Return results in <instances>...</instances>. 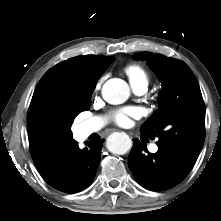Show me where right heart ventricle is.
Here are the masks:
<instances>
[{
    "mask_svg": "<svg viewBox=\"0 0 221 221\" xmlns=\"http://www.w3.org/2000/svg\"><path fill=\"white\" fill-rule=\"evenodd\" d=\"M125 73L127 74L131 84H136L140 82L148 83L149 81L148 73L139 64H130L126 66Z\"/></svg>",
    "mask_w": 221,
    "mask_h": 221,
    "instance_id": "obj_1",
    "label": "right heart ventricle"
}]
</instances>
